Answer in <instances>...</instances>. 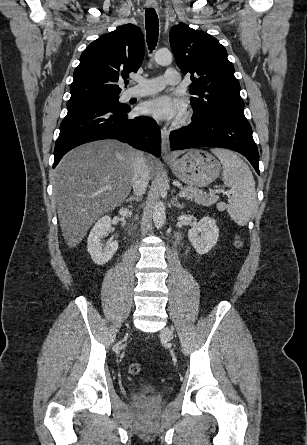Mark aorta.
<instances>
[{"label":"aorta","instance_id":"762f6f07","mask_svg":"<svg viewBox=\"0 0 307 445\" xmlns=\"http://www.w3.org/2000/svg\"><path fill=\"white\" fill-rule=\"evenodd\" d=\"M154 58L157 64H163V66H168V64H171L173 60V56L168 48H159V50H156ZM165 220L166 206L162 200H158L153 210V223L156 229H161L165 223Z\"/></svg>","mask_w":307,"mask_h":445}]
</instances>
